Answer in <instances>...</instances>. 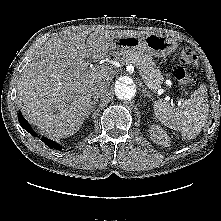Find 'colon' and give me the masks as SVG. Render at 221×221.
<instances>
[{
	"label": "colon",
	"mask_w": 221,
	"mask_h": 221,
	"mask_svg": "<svg viewBox=\"0 0 221 221\" xmlns=\"http://www.w3.org/2000/svg\"><path fill=\"white\" fill-rule=\"evenodd\" d=\"M180 62L183 66H176L173 69L175 79L181 84H191L194 82V75L188 67L195 66L197 57L190 46H184L180 52Z\"/></svg>",
	"instance_id": "obj_1"
}]
</instances>
